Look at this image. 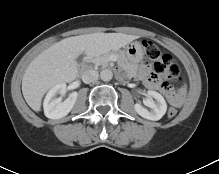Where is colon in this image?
<instances>
[{"mask_svg":"<svg viewBox=\"0 0 219 174\" xmlns=\"http://www.w3.org/2000/svg\"><path fill=\"white\" fill-rule=\"evenodd\" d=\"M147 62L152 65L154 72L167 81L180 83L182 81L181 69L173 57L161 52L153 43L145 42ZM167 115L174 118L177 115L175 108H169Z\"/></svg>","mask_w":219,"mask_h":174,"instance_id":"obj_1","label":"colon"}]
</instances>
